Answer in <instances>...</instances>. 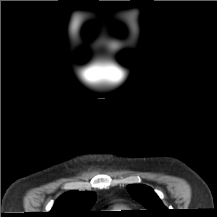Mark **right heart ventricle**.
I'll use <instances>...</instances> for the list:
<instances>
[{
    "label": "right heart ventricle",
    "instance_id": "e07e8e85",
    "mask_svg": "<svg viewBox=\"0 0 217 217\" xmlns=\"http://www.w3.org/2000/svg\"><path fill=\"white\" fill-rule=\"evenodd\" d=\"M112 212H114L115 214H119L121 212L124 211V206L121 205H115L111 208Z\"/></svg>",
    "mask_w": 217,
    "mask_h": 217
}]
</instances>
